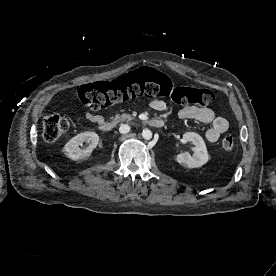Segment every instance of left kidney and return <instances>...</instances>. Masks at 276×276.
<instances>
[{
    "label": "left kidney",
    "mask_w": 276,
    "mask_h": 276,
    "mask_svg": "<svg viewBox=\"0 0 276 276\" xmlns=\"http://www.w3.org/2000/svg\"><path fill=\"white\" fill-rule=\"evenodd\" d=\"M183 139L191 141L195 145L193 148L194 155L191 156L188 152L180 153L176 156L177 162L189 168H197L206 164L209 155L203 138L195 132H186L183 134Z\"/></svg>",
    "instance_id": "5707ae66"
}]
</instances>
